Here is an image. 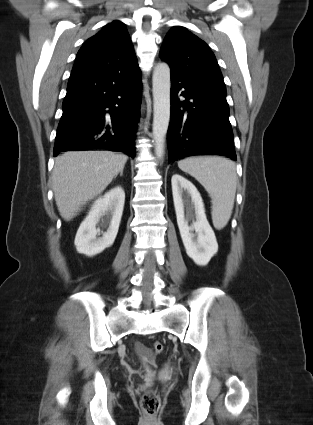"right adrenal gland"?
I'll return each mask as SVG.
<instances>
[{"instance_id":"right-adrenal-gland-1","label":"right adrenal gland","mask_w":313,"mask_h":425,"mask_svg":"<svg viewBox=\"0 0 313 425\" xmlns=\"http://www.w3.org/2000/svg\"><path fill=\"white\" fill-rule=\"evenodd\" d=\"M117 175H118V174H117ZM117 175H116L114 178H116V177H117ZM119 175H120V177H122V176H123V169H121V170H120Z\"/></svg>"}]
</instances>
